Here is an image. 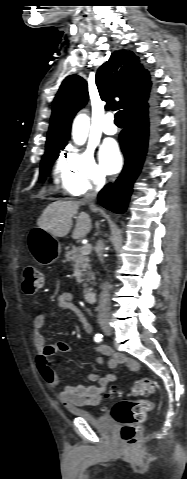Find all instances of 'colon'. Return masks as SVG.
<instances>
[{"mask_svg":"<svg viewBox=\"0 0 187 479\" xmlns=\"http://www.w3.org/2000/svg\"><path fill=\"white\" fill-rule=\"evenodd\" d=\"M23 290L26 294H34L44 287V274L33 266H26L22 271ZM156 391V382L151 378L139 380L133 387L137 395L153 394ZM117 393L110 388L107 396ZM153 409V403L148 400L120 399L112 408L111 415L121 425L120 435L128 446H134L142 434V424L146 414Z\"/></svg>","mask_w":187,"mask_h":479,"instance_id":"colon-1","label":"colon"}]
</instances>
